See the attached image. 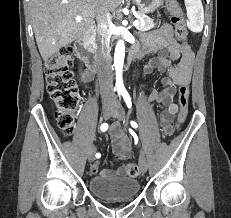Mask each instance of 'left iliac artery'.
Returning a JSON list of instances; mask_svg holds the SVG:
<instances>
[{
	"label": "left iliac artery",
	"mask_w": 231,
	"mask_h": 218,
	"mask_svg": "<svg viewBox=\"0 0 231 218\" xmlns=\"http://www.w3.org/2000/svg\"><path fill=\"white\" fill-rule=\"evenodd\" d=\"M122 96H123V98H124V100L126 102L127 107L131 108V106H132L131 98H130V96H129V94H128V92L126 90L122 91ZM131 126L134 127V128L138 127L137 123L134 122V121H131Z\"/></svg>",
	"instance_id": "44dca946"
}]
</instances>
